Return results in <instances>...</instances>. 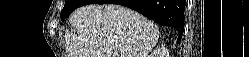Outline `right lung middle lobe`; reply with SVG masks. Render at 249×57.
<instances>
[{
	"label": "right lung middle lobe",
	"instance_id": "dd1d6c3e",
	"mask_svg": "<svg viewBox=\"0 0 249 57\" xmlns=\"http://www.w3.org/2000/svg\"><path fill=\"white\" fill-rule=\"evenodd\" d=\"M92 0H66L65 6L60 14L62 20H65L71 12L80 6L87 5L91 3Z\"/></svg>",
	"mask_w": 249,
	"mask_h": 57
}]
</instances>
